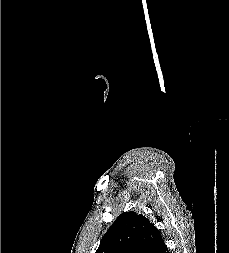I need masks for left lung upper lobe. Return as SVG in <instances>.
<instances>
[{"instance_id":"5c2ea615","label":"left lung upper lobe","mask_w":229,"mask_h":253,"mask_svg":"<svg viewBox=\"0 0 229 253\" xmlns=\"http://www.w3.org/2000/svg\"><path fill=\"white\" fill-rule=\"evenodd\" d=\"M162 242L160 231L148 218L125 212L106 232L96 253H155Z\"/></svg>"}]
</instances>
